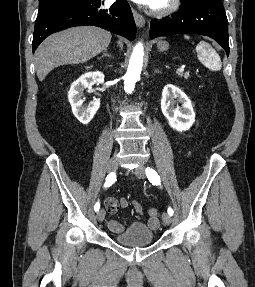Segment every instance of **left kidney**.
<instances>
[{
    "mask_svg": "<svg viewBox=\"0 0 255 287\" xmlns=\"http://www.w3.org/2000/svg\"><path fill=\"white\" fill-rule=\"evenodd\" d=\"M176 104H182L181 108ZM161 110L169 126L177 132L189 130L195 122V112L189 98L173 84H167L162 92Z\"/></svg>",
    "mask_w": 255,
    "mask_h": 287,
    "instance_id": "5707ae66",
    "label": "left kidney"
}]
</instances>
